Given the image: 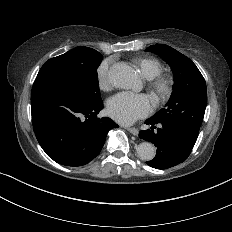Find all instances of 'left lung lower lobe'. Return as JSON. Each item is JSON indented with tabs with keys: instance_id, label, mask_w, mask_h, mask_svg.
I'll list each match as a JSON object with an SVG mask.
<instances>
[{
	"instance_id": "left-lung-lower-lobe-1",
	"label": "left lung lower lobe",
	"mask_w": 232,
	"mask_h": 232,
	"mask_svg": "<svg viewBox=\"0 0 232 232\" xmlns=\"http://www.w3.org/2000/svg\"><path fill=\"white\" fill-rule=\"evenodd\" d=\"M150 129L139 132V137L157 147L156 156L146 163L156 169H167L184 162L190 155L197 136L173 122L147 119ZM158 125L159 128H156Z\"/></svg>"
}]
</instances>
